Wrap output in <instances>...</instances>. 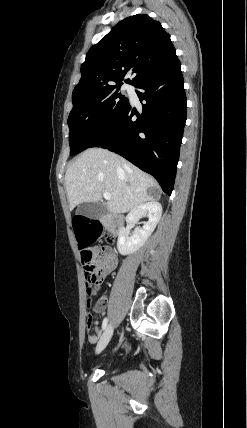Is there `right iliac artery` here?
<instances>
[{
	"label": "right iliac artery",
	"mask_w": 247,
	"mask_h": 428,
	"mask_svg": "<svg viewBox=\"0 0 247 428\" xmlns=\"http://www.w3.org/2000/svg\"><path fill=\"white\" fill-rule=\"evenodd\" d=\"M107 323H108V319H107V318H105V319L103 320V323H102V330H105V328L107 327Z\"/></svg>",
	"instance_id": "obj_1"
}]
</instances>
